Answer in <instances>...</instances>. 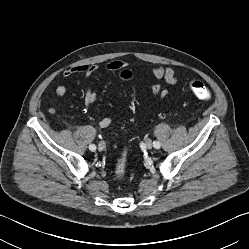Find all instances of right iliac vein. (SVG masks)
<instances>
[{"label": "right iliac vein", "mask_w": 249, "mask_h": 249, "mask_svg": "<svg viewBox=\"0 0 249 249\" xmlns=\"http://www.w3.org/2000/svg\"><path fill=\"white\" fill-rule=\"evenodd\" d=\"M105 148H106V144L104 142H100L98 144L99 151H103V150H105Z\"/></svg>", "instance_id": "right-iliac-vein-1"}]
</instances>
